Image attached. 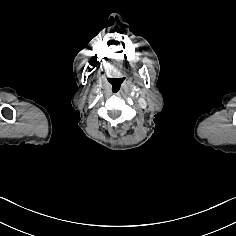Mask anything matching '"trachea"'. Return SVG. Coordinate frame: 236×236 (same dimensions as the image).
<instances>
[{
    "instance_id": "obj_1",
    "label": "trachea",
    "mask_w": 236,
    "mask_h": 236,
    "mask_svg": "<svg viewBox=\"0 0 236 236\" xmlns=\"http://www.w3.org/2000/svg\"><path fill=\"white\" fill-rule=\"evenodd\" d=\"M111 91H112L113 94L118 95V94L121 93L122 88L119 84H114L111 88Z\"/></svg>"
}]
</instances>
